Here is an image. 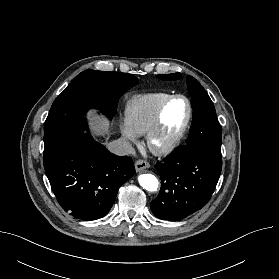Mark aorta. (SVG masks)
I'll use <instances>...</instances> for the list:
<instances>
[{
    "instance_id": "obj_1",
    "label": "aorta",
    "mask_w": 279,
    "mask_h": 279,
    "mask_svg": "<svg viewBox=\"0 0 279 279\" xmlns=\"http://www.w3.org/2000/svg\"><path fill=\"white\" fill-rule=\"evenodd\" d=\"M139 184L147 191L154 192L158 188V179L152 174H142L138 177Z\"/></svg>"
}]
</instances>
